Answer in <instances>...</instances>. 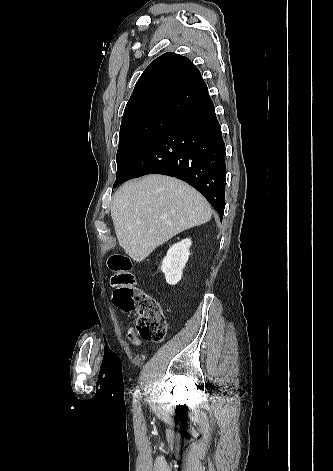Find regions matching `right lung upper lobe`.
Here are the masks:
<instances>
[{
	"mask_svg": "<svg viewBox=\"0 0 333 471\" xmlns=\"http://www.w3.org/2000/svg\"><path fill=\"white\" fill-rule=\"evenodd\" d=\"M206 94L207 85L190 59L167 52L145 69L125 107L123 118L140 114L176 118Z\"/></svg>",
	"mask_w": 333,
	"mask_h": 471,
	"instance_id": "obj_1",
	"label": "right lung upper lobe"
}]
</instances>
